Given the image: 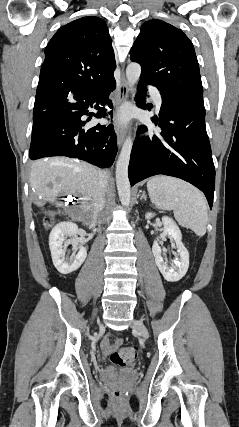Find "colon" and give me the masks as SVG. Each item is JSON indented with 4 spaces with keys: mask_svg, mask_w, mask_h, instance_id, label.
I'll list each match as a JSON object with an SVG mask.
<instances>
[{
    "mask_svg": "<svg viewBox=\"0 0 239 427\" xmlns=\"http://www.w3.org/2000/svg\"><path fill=\"white\" fill-rule=\"evenodd\" d=\"M46 226L53 224L52 216L45 217ZM139 354V349L136 346L123 347L111 354V361L119 367H127L134 363ZM113 396L116 400H122L125 396V391L121 387H117L113 391Z\"/></svg>",
    "mask_w": 239,
    "mask_h": 427,
    "instance_id": "5ec220e1",
    "label": "colon"
}]
</instances>
